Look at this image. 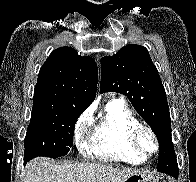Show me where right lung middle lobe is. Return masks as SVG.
<instances>
[{
	"label": "right lung middle lobe",
	"mask_w": 196,
	"mask_h": 182,
	"mask_svg": "<svg viewBox=\"0 0 196 182\" xmlns=\"http://www.w3.org/2000/svg\"><path fill=\"white\" fill-rule=\"evenodd\" d=\"M81 113L71 108L32 110L24 140V162L36 156H65L72 147L75 123Z\"/></svg>",
	"instance_id": "right-lung-middle-lobe-1"
}]
</instances>
